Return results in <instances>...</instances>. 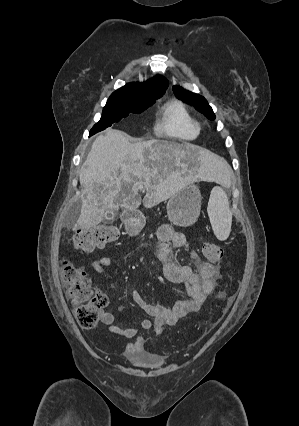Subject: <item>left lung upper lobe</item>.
<instances>
[{
  "label": "left lung upper lobe",
  "mask_w": 299,
  "mask_h": 426,
  "mask_svg": "<svg viewBox=\"0 0 299 426\" xmlns=\"http://www.w3.org/2000/svg\"><path fill=\"white\" fill-rule=\"evenodd\" d=\"M173 91L179 99L194 105L198 111L202 112L209 119H215V114L213 113L212 108L203 96L189 92L180 86H174Z\"/></svg>",
  "instance_id": "5c2ea615"
}]
</instances>
